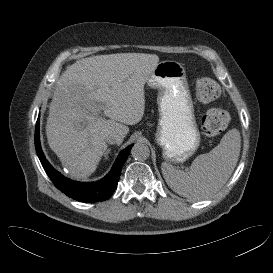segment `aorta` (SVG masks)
Wrapping results in <instances>:
<instances>
[{
  "instance_id": "1",
  "label": "aorta",
  "mask_w": 273,
  "mask_h": 273,
  "mask_svg": "<svg viewBox=\"0 0 273 273\" xmlns=\"http://www.w3.org/2000/svg\"><path fill=\"white\" fill-rule=\"evenodd\" d=\"M131 155L136 160H146L150 155V149L143 143H136L132 147Z\"/></svg>"
}]
</instances>
